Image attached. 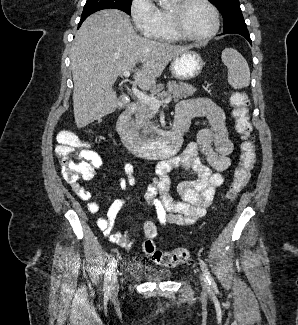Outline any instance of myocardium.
I'll list each match as a JSON object with an SVG mask.
<instances>
[{
    "label": "myocardium",
    "instance_id": "myocardium-1",
    "mask_svg": "<svg viewBox=\"0 0 298 325\" xmlns=\"http://www.w3.org/2000/svg\"><path fill=\"white\" fill-rule=\"evenodd\" d=\"M192 2L203 5L208 10L213 20V27L211 31L202 37H192L187 35L182 30L180 25V10ZM163 7L167 15V31L170 32L175 39L195 43H204L210 41L218 33L219 19L217 13L212 5L205 0H170L165 2Z\"/></svg>",
    "mask_w": 298,
    "mask_h": 325
}]
</instances>
